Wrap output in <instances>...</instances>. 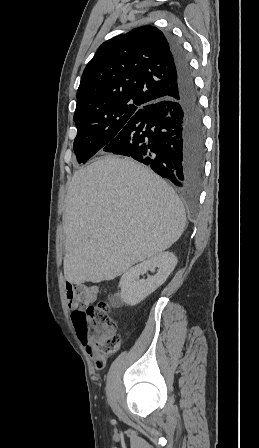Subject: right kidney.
Returning <instances> with one entry per match:
<instances>
[{"label":"right kidney","mask_w":259,"mask_h":448,"mask_svg":"<svg viewBox=\"0 0 259 448\" xmlns=\"http://www.w3.org/2000/svg\"><path fill=\"white\" fill-rule=\"evenodd\" d=\"M177 262L176 256L171 254V252H161L158 256H153V258H149L146 262L130 268L120 278V294H115L113 298H110L112 306L114 308H119L123 304L136 306V304L142 302L146 296L155 292L159 286H162L166 282ZM155 268H158L157 274L148 276L147 280H139V276L147 274L148 270L155 272Z\"/></svg>","instance_id":"right-kidney-1"}]
</instances>
